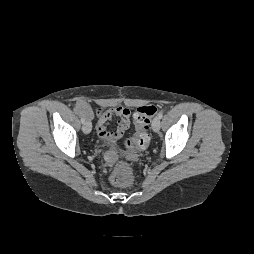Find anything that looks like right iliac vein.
Segmentation results:
<instances>
[{"mask_svg":"<svg viewBox=\"0 0 254 254\" xmlns=\"http://www.w3.org/2000/svg\"><path fill=\"white\" fill-rule=\"evenodd\" d=\"M91 129H92V124L89 120L85 121L83 123V127H82V130L85 134H89L91 132Z\"/></svg>","mask_w":254,"mask_h":254,"instance_id":"obj_1","label":"right iliac vein"}]
</instances>
